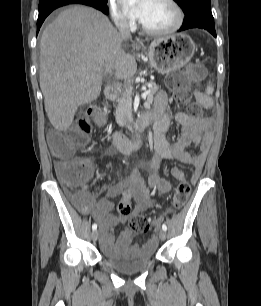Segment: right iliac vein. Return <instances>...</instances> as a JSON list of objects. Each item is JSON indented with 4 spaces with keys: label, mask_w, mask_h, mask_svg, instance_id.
<instances>
[{
    "label": "right iliac vein",
    "mask_w": 261,
    "mask_h": 306,
    "mask_svg": "<svg viewBox=\"0 0 261 306\" xmlns=\"http://www.w3.org/2000/svg\"><path fill=\"white\" fill-rule=\"evenodd\" d=\"M99 237V232L98 230H93L92 233H91V238L93 241H96Z\"/></svg>",
    "instance_id": "right-iliac-vein-1"
}]
</instances>
